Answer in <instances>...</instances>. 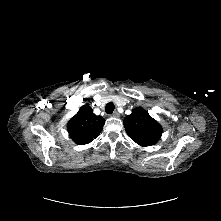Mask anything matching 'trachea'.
I'll return each mask as SVG.
<instances>
[{
  "mask_svg": "<svg viewBox=\"0 0 221 221\" xmlns=\"http://www.w3.org/2000/svg\"><path fill=\"white\" fill-rule=\"evenodd\" d=\"M115 109V105L112 102L107 103L106 107H105V112L107 114H111Z\"/></svg>",
  "mask_w": 221,
  "mask_h": 221,
  "instance_id": "3493384b",
  "label": "trachea"
}]
</instances>
